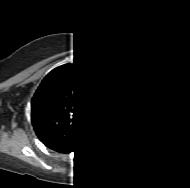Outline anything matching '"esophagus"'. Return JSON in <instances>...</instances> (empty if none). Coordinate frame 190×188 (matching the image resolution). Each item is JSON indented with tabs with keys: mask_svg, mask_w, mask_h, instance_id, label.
Listing matches in <instances>:
<instances>
[{
	"mask_svg": "<svg viewBox=\"0 0 190 188\" xmlns=\"http://www.w3.org/2000/svg\"><path fill=\"white\" fill-rule=\"evenodd\" d=\"M98 120H99V121H102V120H103V117H100Z\"/></svg>",
	"mask_w": 190,
	"mask_h": 188,
	"instance_id": "obj_1",
	"label": "esophagus"
}]
</instances>
